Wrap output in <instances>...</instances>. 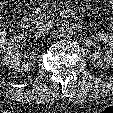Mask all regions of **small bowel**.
Returning <instances> with one entry per match:
<instances>
[{
	"instance_id": "small-bowel-1",
	"label": "small bowel",
	"mask_w": 113,
	"mask_h": 113,
	"mask_svg": "<svg viewBox=\"0 0 113 113\" xmlns=\"http://www.w3.org/2000/svg\"><path fill=\"white\" fill-rule=\"evenodd\" d=\"M109 3L113 8V0H109ZM110 23L112 24V29H113V16L110 18Z\"/></svg>"
}]
</instances>
